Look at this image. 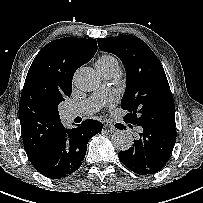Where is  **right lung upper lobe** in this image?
I'll return each mask as SVG.
<instances>
[{"instance_id": "cb5924a9", "label": "right lung upper lobe", "mask_w": 203, "mask_h": 203, "mask_svg": "<svg viewBox=\"0 0 203 203\" xmlns=\"http://www.w3.org/2000/svg\"><path fill=\"white\" fill-rule=\"evenodd\" d=\"M95 39L66 37L48 43L28 71L19 103L27 156L37 160L62 126L58 105L69 97L75 71L96 53Z\"/></svg>"}]
</instances>
